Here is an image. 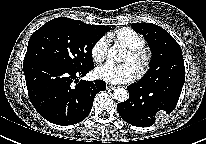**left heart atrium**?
<instances>
[{"label": "left heart atrium", "mask_w": 206, "mask_h": 144, "mask_svg": "<svg viewBox=\"0 0 206 144\" xmlns=\"http://www.w3.org/2000/svg\"><path fill=\"white\" fill-rule=\"evenodd\" d=\"M95 73L97 78L112 84L128 83L137 77L136 67L130 62L123 64L109 62L99 66Z\"/></svg>", "instance_id": "1"}]
</instances>
